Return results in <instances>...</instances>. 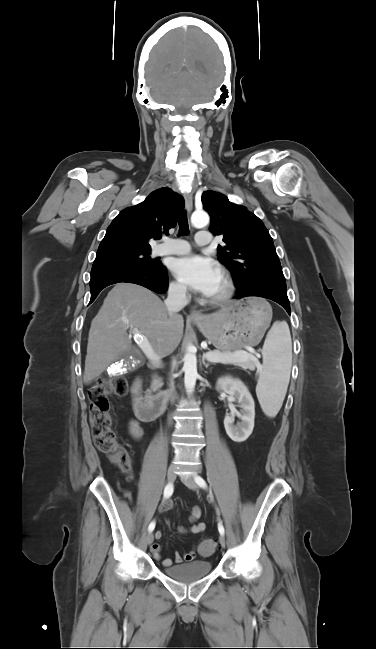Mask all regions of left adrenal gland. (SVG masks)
I'll return each instance as SVG.
<instances>
[{"label": "left adrenal gland", "mask_w": 376, "mask_h": 649, "mask_svg": "<svg viewBox=\"0 0 376 649\" xmlns=\"http://www.w3.org/2000/svg\"><path fill=\"white\" fill-rule=\"evenodd\" d=\"M202 363H203V365L205 366V368H208V367L210 366L209 363H206V362H205L204 358L202 359Z\"/></svg>", "instance_id": "left-adrenal-gland-1"}]
</instances>
